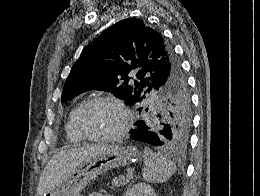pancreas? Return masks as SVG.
<instances>
[{
  "instance_id": "cf45deb5",
  "label": "pancreas",
  "mask_w": 260,
  "mask_h": 196,
  "mask_svg": "<svg viewBox=\"0 0 260 196\" xmlns=\"http://www.w3.org/2000/svg\"><path fill=\"white\" fill-rule=\"evenodd\" d=\"M125 184H130V180H127L126 176H118V178H113L110 188L114 190V188H120V186H125Z\"/></svg>"
}]
</instances>
